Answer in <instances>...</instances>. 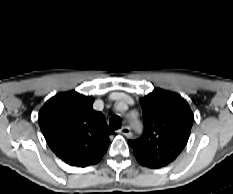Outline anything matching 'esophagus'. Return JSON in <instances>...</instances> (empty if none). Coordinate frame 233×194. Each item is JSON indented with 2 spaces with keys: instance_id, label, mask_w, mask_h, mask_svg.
I'll use <instances>...</instances> for the list:
<instances>
[{
  "instance_id": "34e87169",
  "label": "esophagus",
  "mask_w": 233,
  "mask_h": 194,
  "mask_svg": "<svg viewBox=\"0 0 233 194\" xmlns=\"http://www.w3.org/2000/svg\"><path fill=\"white\" fill-rule=\"evenodd\" d=\"M119 132L121 134H123L124 136H126L127 138H131L132 137V132L131 129L127 126L122 127Z\"/></svg>"
}]
</instances>
